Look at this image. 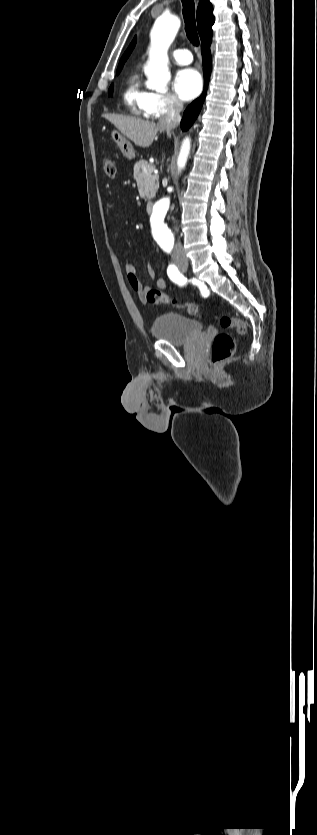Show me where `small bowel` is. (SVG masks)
I'll return each mask as SVG.
<instances>
[{"label": "small bowel", "instance_id": "small-bowel-1", "mask_svg": "<svg viewBox=\"0 0 317 835\" xmlns=\"http://www.w3.org/2000/svg\"><path fill=\"white\" fill-rule=\"evenodd\" d=\"M114 237H116V233L114 234ZM125 270H126V273H127V279H128L130 287L135 292H137L139 294L140 298L143 300L145 298V293H146L148 288L144 287L142 285V283L140 282V280L137 276L135 266L133 264H127L126 267H125ZM147 271H148V275L150 276V278L155 280V284H156L158 289H161V290L166 289L167 284H166L165 279L162 278V277L157 276L156 271H155V269L152 265L148 266Z\"/></svg>", "mask_w": 317, "mask_h": 835}]
</instances>
